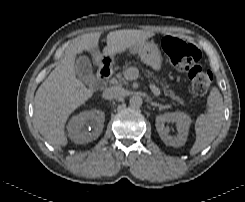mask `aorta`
I'll use <instances>...</instances> for the list:
<instances>
[{
    "mask_svg": "<svg viewBox=\"0 0 245 202\" xmlns=\"http://www.w3.org/2000/svg\"><path fill=\"white\" fill-rule=\"evenodd\" d=\"M130 106L133 108H140L143 100L139 95H133L129 100Z\"/></svg>",
    "mask_w": 245,
    "mask_h": 202,
    "instance_id": "762f6f07",
    "label": "aorta"
}]
</instances>
